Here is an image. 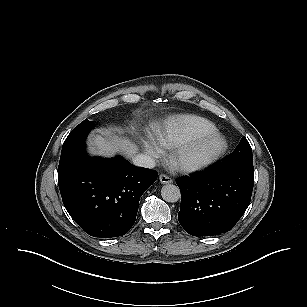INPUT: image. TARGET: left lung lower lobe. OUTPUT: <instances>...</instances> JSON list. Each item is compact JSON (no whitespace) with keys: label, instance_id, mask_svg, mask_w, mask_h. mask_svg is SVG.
<instances>
[{"label":"left lung lower lobe","instance_id":"1","mask_svg":"<svg viewBox=\"0 0 307 307\" xmlns=\"http://www.w3.org/2000/svg\"><path fill=\"white\" fill-rule=\"evenodd\" d=\"M181 192L178 219L193 236H213L231 230L249 206L253 166L223 161L206 171L176 180Z\"/></svg>","mask_w":307,"mask_h":307}]
</instances>
